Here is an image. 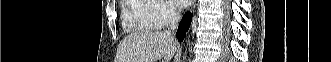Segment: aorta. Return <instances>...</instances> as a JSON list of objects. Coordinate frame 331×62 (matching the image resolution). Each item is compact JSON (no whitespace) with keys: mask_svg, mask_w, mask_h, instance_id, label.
Segmentation results:
<instances>
[{"mask_svg":"<svg viewBox=\"0 0 331 62\" xmlns=\"http://www.w3.org/2000/svg\"><path fill=\"white\" fill-rule=\"evenodd\" d=\"M186 59V56H183V61Z\"/></svg>","mask_w":331,"mask_h":62,"instance_id":"aorta-1","label":"aorta"}]
</instances>
